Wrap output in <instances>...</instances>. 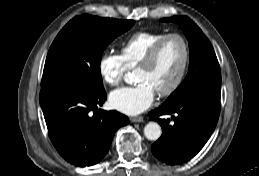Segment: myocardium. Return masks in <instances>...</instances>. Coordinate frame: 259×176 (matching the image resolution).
I'll return each mask as SVG.
<instances>
[{
  "mask_svg": "<svg viewBox=\"0 0 259 176\" xmlns=\"http://www.w3.org/2000/svg\"><path fill=\"white\" fill-rule=\"evenodd\" d=\"M173 38L179 40L182 44L183 61H182L180 70H179L176 78L174 79V81L170 85H168L166 88L157 91V94L160 97H167V96H170L171 94H173L180 87V85L182 84V82L186 76V73L188 71V67L190 64V58H191L190 46H189L188 40L183 35L178 34V33L166 34L152 46V48L149 50V52L145 55V57L141 60V62L136 66L137 69L146 68V67L151 66L155 62L163 44L167 40L173 39Z\"/></svg>",
  "mask_w": 259,
  "mask_h": 176,
  "instance_id": "f54148a6",
  "label": "myocardium"
}]
</instances>
